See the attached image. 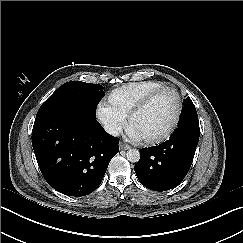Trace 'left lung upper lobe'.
Returning a JSON list of instances; mask_svg holds the SVG:
<instances>
[{
    "mask_svg": "<svg viewBox=\"0 0 243 243\" xmlns=\"http://www.w3.org/2000/svg\"><path fill=\"white\" fill-rule=\"evenodd\" d=\"M183 110L181 112V116L179 119V124L181 125L182 123L189 121V120H198V115L196 108L190 99V97H187L183 103Z\"/></svg>",
    "mask_w": 243,
    "mask_h": 243,
    "instance_id": "left-lung-upper-lobe-1",
    "label": "left lung upper lobe"
}]
</instances>
